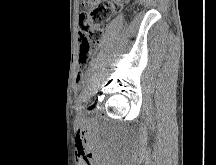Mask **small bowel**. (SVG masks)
Masks as SVG:
<instances>
[{
	"label": "small bowel",
	"instance_id": "small-bowel-1",
	"mask_svg": "<svg viewBox=\"0 0 216 165\" xmlns=\"http://www.w3.org/2000/svg\"><path fill=\"white\" fill-rule=\"evenodd\" d=\"M81 80V75L79 74L77 77V81L79 82Z\"/></svg>",
	"mask_w": 216,
	"mask_h": 165
}]
</instances>
